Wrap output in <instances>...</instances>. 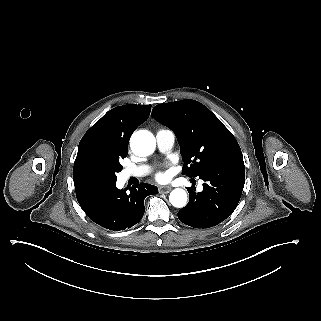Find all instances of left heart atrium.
Instances as JSON below:
<instances>
[{"label":"left heart atrium","instance_id":"left-heart-atrium-1","mask_svg":"<svg viewBox=\"0 0 321 321\" xmlns=\"http://www.w3.org/2000/svg\"><path fill=\"white\" fill-rule=\"evenodd\" d=\"M157 177H158V179H160V180H164V179L166 178V175H165L163 172H159V173L157 174Z\"/></svg>","mask_w":321,"mask_h":321}]
</instances>
